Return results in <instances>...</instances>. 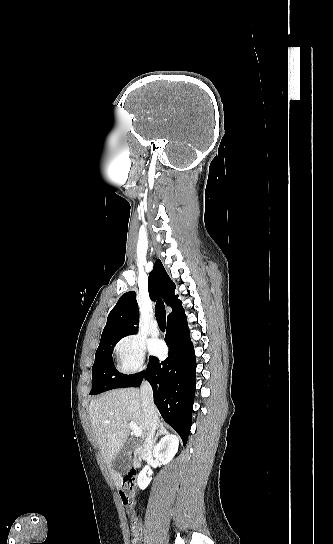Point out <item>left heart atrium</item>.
<instances>
[{"instance_id": "left-heart-atrium-1", "label": "left heart atrium", "mask_w": 333, "mask_h": 544, "mask_svg": "<svg viewBox=\"0 0 333 544\" xmlns=\"http://www.w3.org/2000/svg\"><path fill=\"white\" fill-rule=\"evenodd\" d=\"M150 351L155 355H160L164 352V345L159 340H153L150 343Z\"/></svg>"}]
</instances>
